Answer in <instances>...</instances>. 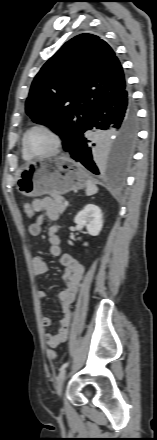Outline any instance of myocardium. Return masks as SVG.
<instances>
[{"instance_id":"obj_1","label":"myocardium","mask_w":157,"mask_h":440,"mask_svg":"<svg viewBox=\"0 0 157 440\" xmlns=\"http://www.w3.org/2000/svg\"><path fill=\"white\" fill-rule=\"evenodd\" d=\"M36 129L45 130L46 132H48L53 137V139H54V146H53V148H52V150L50 152H48L46 154H33V153L30 152V150L28 148V145H27V139H28L29 134L32 131L36 130ZM22 145H23V148H24L25 152L30 157H47V156L54 155V154L58 153L61 150V148L63 146V140H62L61 134L59 133V131L56 128H54L53 126H51L49 124H46V123H38V124H35V125L31 126L25 132V134L23 136Z\"/></svg>"}]
</instances>
